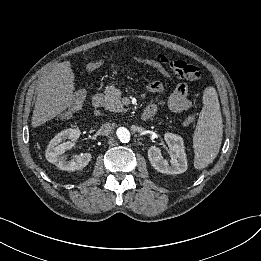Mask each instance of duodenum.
Instances as JSON below:
<instances>
[{"label": "duodenum", "mask_w": 261, "mask_h": 261, "mask_svg": "<svg viewBox=\"0 0 261 261\" xmlns=\"http://www.w3.org/2000/svg\"><path fill=\"white\" fill-rule=\"evenodd\" d=\"M102 103H103V96L101 94H96L93 98V106L95 108H101L102 107ZM154 115V111L149 108L146 107L141 115H140V120L142 122H146L150 117H152Z\"/></svg>", "instance_id": "duodenum-1"}]
</instances>
